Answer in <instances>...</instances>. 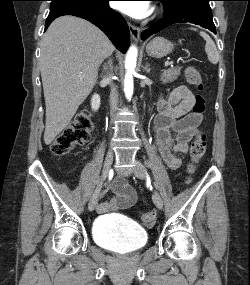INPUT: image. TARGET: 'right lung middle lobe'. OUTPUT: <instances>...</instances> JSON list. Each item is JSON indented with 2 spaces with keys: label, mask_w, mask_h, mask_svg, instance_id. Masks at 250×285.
<instances>
[{
  "label": "right lung middle lobe",
  "mask_w": 250,
  "mask_h": 285,
  "mask_svg": "<svg viewBox=\"0 0 250 285\" xmlns=\"http://www.w3.org/2000/svg\"><path fill=\"white\" fill-rule=\"evenodd\" d=\"M99 0H51L50 13L72 6L91 5Z\"/></svg>",
  "instance_id": "dd1d6c3e"
}]
</instances>
